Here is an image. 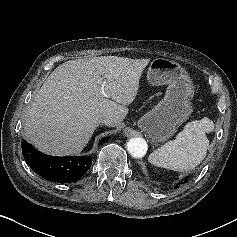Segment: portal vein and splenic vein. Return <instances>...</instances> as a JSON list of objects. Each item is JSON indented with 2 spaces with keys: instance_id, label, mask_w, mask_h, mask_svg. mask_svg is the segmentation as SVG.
Segmentation results:
<instances>
[{
  "instance_id": "18ae733b",
  "label": "portal vein and splenic vein",
  "mask_w": 237,
  "mask_h": 237,
  "mask_svg": "<svg viewBox=\"0 0 237 237\" xmlns=\"http://www.w3.org/2000/svg\"><path fill=\"white\" fill-rule=\"evenodd\" d=\"M101 84V88L104 89L106 81H104L102 78L99 80Z\"/></svg>"
}]
</instances>
